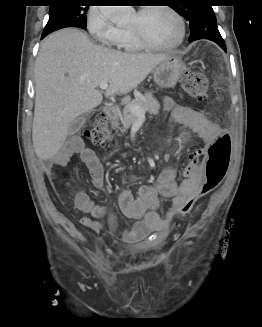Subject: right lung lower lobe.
<instances>
[{"label":"right lung lower lobe","instance_id":"1","mask_svg":"<svg viewBox=\"0 0 262 327\" xmlns=\"http://www.w3.org/2000/svg\"><path fill=\"white\" fill-rule=\"evenodd\" d=\"M48 34L46 33V34H42V39L45 37V36H47Z\"/></svg>","mask_w":262,"mask_h":327}]
</instances>
